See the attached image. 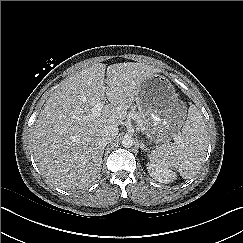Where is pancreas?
I'll return each instance as SVG.
<instances>
[{
	"instance_id": "cf45deb5",
	"label": "pancreas",
	"mask_w": 243,
	"mask_h": 243,
	"mask_svg": "<svg viewBox=\"0 0 243 243\" xmlns=\"http://www.w3.org/2000/svg\"><path fill=\"white\" fill-rule=\"evenodd\" d=\"M129 115L139 123V126L141 127L142 130L145 129V124L140 114H138L136 111H131Z\"/></svg>"
}]
</instances>
